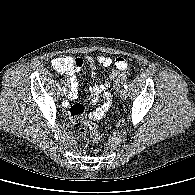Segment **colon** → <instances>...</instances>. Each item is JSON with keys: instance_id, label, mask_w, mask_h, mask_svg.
Listing matches in <instances>:
<instances>
[{"instance_id": "obj_1", "label": "colon", "mask_w": 195, "mask_h": 195, "mask_svg": "<svg viewBox=\"0 0 195 195\" xmlns=\"http://www.w3.org/2000/svg\"><path fill=\"white\" fill-rule=\"evenodd\" d=\"M53 66L59 71H66L71 66V61L68 57H58L52 61ZM129 71V67L126 66L122 72H120L114 80V90L118 92L122 84L126 81V74ZM84 127L78 129V136L80 138H89L91 141H99L100 136L98 133L97 125L90 119L83 120Z\"/></svg>"}]
</instances>
